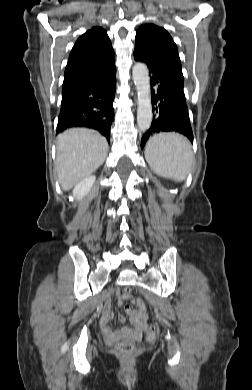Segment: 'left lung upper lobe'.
Here are the masks:
<instances>
[{
    "label": "left lung upper lobe",
    "mask_w": 252,
    "mask_h": 390,
    "mask_svg": "<svg viewBox=\"0 0 252 390\" xmlns=\"http://www.w3.org/2000/svg\"><path fill=\"white\" fill-rule=\"evenodd\" d=\"M135 49L183 75L177 46L164 28L154 24L141 26L136 33Z\"/></svg>",
    "instance_id": "5c2ea615"
}]
</instances>
